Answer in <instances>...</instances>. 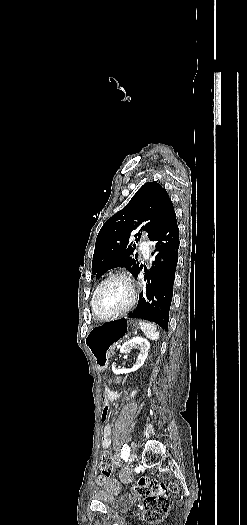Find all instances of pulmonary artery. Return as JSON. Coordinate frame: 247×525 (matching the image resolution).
<instances>
[{"label":"pulmonary artery","mask_w":247,"mask_h":525,"mask_svg":"<svg viewBox=\"0 0 247 525\" xmlns=\"http://www.w3.org/2000/svg\"><path fill=\"white\" fill-rule=\"evenodd\" d=\"M153 249L150 246V242L147 236H143L141 239V243L139 245V252L141 254V258L143 260H146V263H149L150 253H152Z\"/></svg>","instance_id":"pulmonary-artery-1"}]
</instances>
